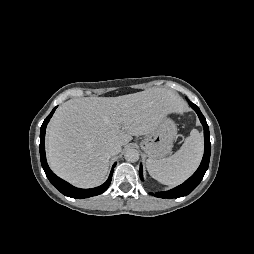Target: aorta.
Masks as SVG:
<instances>
[{
  "instance_id": "762f6f07",
  "label": "aorta",
  "mask_w": 254,
  "mask_h": 254,
  "mask_svg": "<svg viewBox=\"0 0 254 254\" xmlns=\"http://www.w3.org/2000/svg\"><path fill=\"white\" fill-rule=\"evenodd\" d=\"M128 162H136L139 159V152L136 149H128L124 154Z\"/></svg>"
}]
</instances>
